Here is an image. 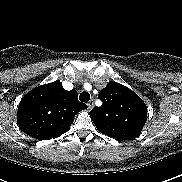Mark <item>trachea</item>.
<instances>
[{
    "label": "trachea",
    "mask_w": 182,
    "mask_h": 182,
    "mask_svg": "<svg viewBox=\"0 0 182 182\" xmlns=\"http://www.w3.org/2000/svg\"><path fill=\"white\" fill-rule=\"evenodd\" d=\"M90 99V94L88 92H82L79 96V100L81 102L87 103Z\"/></svg>",
    "instance_id": "trachea-1"
}]
</instances>
